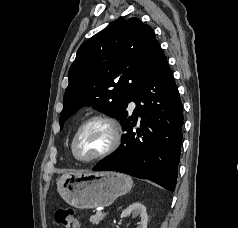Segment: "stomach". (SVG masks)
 Wrapping results in <instances>:
<instances>
[{
	"label": "stomach",
	"mask_w": 238,
	"mask_h": 228,
	"mask_svg": "<svg viewBox=\"0 0 238 228\" xmlns=\"http://www.w3.org/2000/svg\"><path fill=\"white\" fill-rule=\"evenodd\" d=\"M132 185L131 177L118 172H68L59 178L57 189L69 205L92 209L111 205Z\"/></svg>",
	"instance_id": "1"
}]
</instances>
